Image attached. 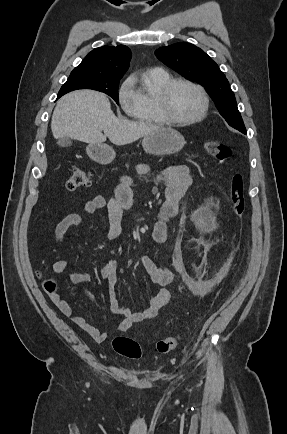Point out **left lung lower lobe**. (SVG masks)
Returning a JSON list of instances; mask_svg holds the SVG:
<instances>
[{"mask_svg":"<svg viewBox=\"0 0 287 434\" xmlns=\"http://www.w3.org/2000/svg\"><path fill=\"white\" fill-rule=\"evenodd\" d=\"M239 131H241V132L244 133V134L246 133V130H239Z\"/></svg>","mask_w":287,"mask_h":434,"instance_id":"1","label":"left lung lower lobe"}]
</instances>
